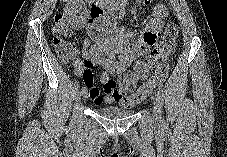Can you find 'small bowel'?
<instances>
[{
    "label": "small bowel",
    "mask_w": 227,
    "mask_h": 157,
    "mask_svg": "<svg viewBox=\"0 0 227 157\" xmlns=\"http://www.w3.org/2000/svg\"><path fill=\"white\" fill-rule=\"evenodd\" d=\"M148 3L150 0H144ZM168 8L164 4H156L150 11V18L140 30L128 31L120 29L116 33H93L83 47L84 60H74V72L83 76V95L90 98L96 105L121 104L125 91L117 87L114 75L123 74L129 67L133 72L124 76L128 90L133 89L141 81L145 73H142L143 62L136 58L146 54L149 47L154 44L161 33ZM100 66L102 73L100 82L103 86L104 95L95 87L91 69Z\"/></svg>",
    "instance_id": "obj_1"
}]
</instances>
